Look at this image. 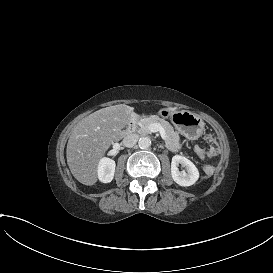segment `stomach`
<instances>
[{
  "instance_id": "stomach-1",
  "label": "stomach",
  "mask_w": 273,
  "mask_h": 273,
  "mask_svg": "<svg viewBox=\"0 0 273 273\" xmlns=\"http://www.w3.org/2000/svg\"><path fill=\"white\" fill-rule=\"evenodd\" d=\"M160 115L172 118L177 130L188 140H197L205 132L204 120L189 111L168 114L165 110H162Z\"/></svg>"
}]
</instances>
